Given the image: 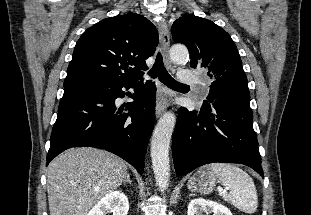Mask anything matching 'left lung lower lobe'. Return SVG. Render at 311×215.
I'll list each match as a JSON object with an SVG mask.
<instances>
[{
    "instance_id": "left-lung-lower-lobe-1",
    "label": "left lung lower lobe",
    "mask_w": 311,
    "mask_h": 215,
    "mask_svg": "<svg viewBox=\"0 0 311 215\" xmlns=\"http://www.w3.org/2000/svg\"><path fill=\"white\" fill-rule=\"evenodd\" d=\"M252 122V110L245 102L205 100L200 111L181 107L172 140L176 174L227 162L247 165L263 176Z\"/></svg>"
}]
</instances>
